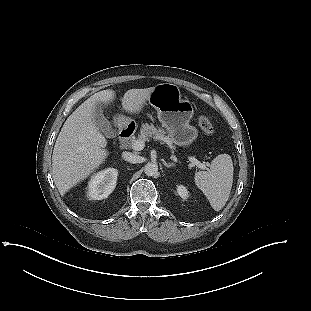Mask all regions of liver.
Returning a JSON list of instances; mask_svg holds the SVG:
<instances>
[{
  "mask_svg": "<svg viewBox=\"0 0 311 311\" xmlns=\"http://www.w3.org/2000/svg\"><path fill=\"white\" fill-rule=\"evenodd\" d=\"M155 87L129 89L124 93L121 110L139 114ZM116 98L112 89L95 93L65 121L57 137L51 173L61 195L96 171L108 158L107 140L96 123V108L110 106Z\"/></svg>",
  "mask_w": 311,
  "mask_h": 311,
  "instance_id": "1",
  "label": "liver"
}]
</instances>
